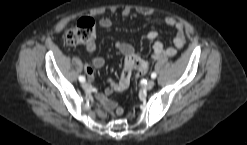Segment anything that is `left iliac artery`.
Instances as JSON below:
<instances>
[{"mask_svg":"<svg viewBox=\"0 0 247 145\" xmlns=\"http://www.w3.org/2000/svg\"><path fill=\"white\" fill-rule=\"evenodd\" d=\"M156 76H157L156 72H153V73L151 74V78H152V79H155Z\"/></svg>","mask_w":247,"mask_h":145,"instance_id":"1","label":"left iliac artery"}]
</instances>
